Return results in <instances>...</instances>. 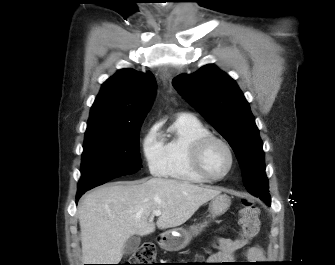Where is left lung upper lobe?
I'll return each mask as SVG.
<instances>
[{
	"label": "left lung upper lobe",
	"mask_w": 335,
	"mask_h": 265,
	"mask_svg": "<svg viewBox=\"0 0 335 265\" xmlns=\"http://www.w3.org/2000/svg\"><path fill=\"white\" fill-rule=\"evenodd\" d=\"M172 84L228 141L239 161L246 189L270 204L263 143L236 82L209 64L193 74L175 77Z\"/></svg>",
	"instance_id": "left-lung-upper-lobe-1"
}]
</instances>
